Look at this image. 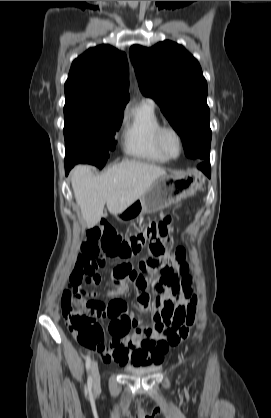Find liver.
<instances>
[{"mask_svg": "<svg viewBox=\"0 0 271 418\" xmlns=\"http://www.w3.org/2000/svg\"><path fill=\"white\" fill-rule=\"evenodd\" d=\"M166 171L153 164L125 160L95 176L89 165H77L71 172V184L82 217L88 228L94 227L104 214V206L117 215L151 187Z\"/></svg>", "mask_w": 271, "mask_h": 418, "instance_id": "liver-1", "label": "liver"}]
</instances>
